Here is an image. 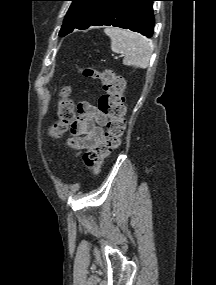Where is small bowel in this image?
<instances>
[{"label":"small bowel","instance_id":"1","mask_svg":"<svg viewBox=\"0 0 216 285\" xmlns=\"http://www.w3.org/2000/svg\"><path fill=\"white\" fill-rule=\"evenodd\" d=\"M78 112L80 115L72 124L75 137L71 144L79 149H89L102 139L107 118L97 107L86 102L78 105Z\"/></svg>","mask_w":216,"mask_h":285}]
</instances>
